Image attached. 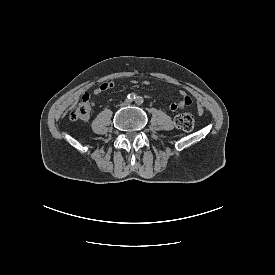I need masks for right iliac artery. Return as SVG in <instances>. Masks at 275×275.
Returning a JSON list of instances; mask_svg holds the SVG:
<instances>
[{
	"label": "right iliac artery",
	"instance_id": "1",
	"mask_svg": "<svg viewBox=\"0 0 275 275\" xmlns=\"http://www.w3.org/2000/svg\"><path fill=\"white\" fill-rule=\"evenodd\" d=\"M128 99H129L130 101H133V100L136 99V96H135L134 94H129V95H128Z\"/></svg>",
	"mask_w": 275,
	"mask_h": 275
}]
</instances>
